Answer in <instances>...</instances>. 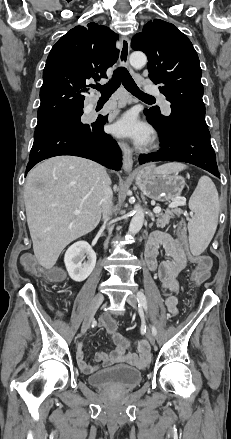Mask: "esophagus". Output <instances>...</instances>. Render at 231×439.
<instances>
[{
    "instance_id": "obj_1",
    "label": "esophagus",
    "mask_w": 231,
    "mask_h": 439,
    "mask_svg": "<svg viewBox=\"0 0 231 439\" xmlns=\"http://www.w3.org/2000/svg\"><path fill=\"white\" fill-rule=\"evenodd\" d=\"M130 54V41L127 38H123L121 42V50L119 55V63L123 67H128V59ZM123 152V168L126 172L133 170V151L128 143L124 141L118 142Z\"/></svg>"
}]
</instances>
